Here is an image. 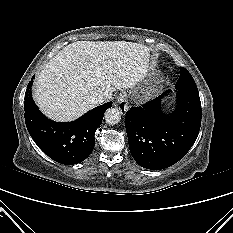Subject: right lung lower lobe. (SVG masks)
Instances as JSON below:
<instances>
[{
    "label": "right lung lower lobe",
    "mask_w": 233,
    "mask_h": 233,
    "mask_svg": "<svg viewBox=\"0 0 233 233\" xmlns=\"http://www.w3.org/2000/svg\"><path fill=\"white\" fill-rule=\"evenodd\" d=\"M33 79L34 76L27 86L24 100L25 123L31 137L46 155L61 164L84 161L94 148V134L112 102L92 109L75 121L54 122L42 114L32 98Z\"/></svg>",
    "instance_id": "right-lung-lower-lobe-1"
}]
</instances>
